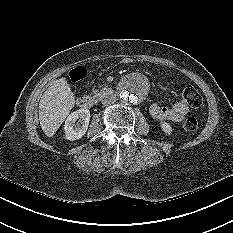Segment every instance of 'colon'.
I'll list each match as a JSON object with an SVG mask.
<instances>
[{
	"instance_id": "5ec220e1",
	"label": "colon",
	"mask_w": 233,
	"mask_h": 233,
	"mask_svg": "<svg viewBox=\"0 0 233 233\" xmlns=\"http://www.w3.org/2000/svg\"><path fill=\"white\" fill-rule=\"evenodd\" d=\"M85 76L83 69L75 70L71 77L74 81H79ZM183 97L185 101L194 109L200 108L203 104V99L197 89L190 84H183ZM199 122L194 117H189L183 124V128L187 132H194L198 129Z\"/></svg>"
}]
</instances>
